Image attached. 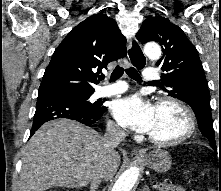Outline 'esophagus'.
<instances>
[{
  "mask_svg": "<svg viewBox=\"0 0 221 191\" xmlns=\"http://www.w3.org/2000/svg\"><path fill=\"white\" fill-rule=\"evenodd\" d=\"M128 58L129 61L133 63L138 69L143 68V65L146 63V57L144 56L143 50L139 42L133 38L128 47ZM144 153L139 149L132 151L131 156L133 158L140 157Z\"/></svg>",
  "mask_w": 221,
  "mask_h": 191,
  "instance_id": "obj_1",
  "label": "esophagus"
}]
</instances>
